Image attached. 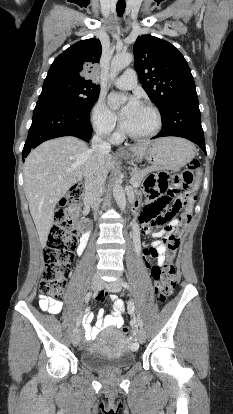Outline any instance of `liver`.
<instances>
[{"label": "liver", "mask_w": 233, "mask_h": 414, "mask_svg": "<svg viewBox=\"0 0 233 414\" xmlns=\"http://www.w3.org/2000/svg\"><path fill=\"white\" fill-rule=\"evenodd\" d=\"M151 142L130 148L141 161ZM88 145L76 137L48 140L31 151L24 163L25 195L42 247L54 224V209L58 201L85 176L89 159ZM107 171L117 165L115 156L106 154Z\"/></svg>", "instance_id": "obj_1"}]
</instances>
